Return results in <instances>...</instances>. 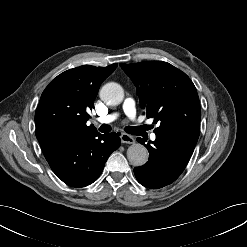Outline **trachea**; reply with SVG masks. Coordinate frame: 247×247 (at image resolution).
<instances>
[{
	"label": "trachea",
	"mask_w": 247,
	"mask_h": 247,
	"mask_svg": "<svg viewBox=\"0 0 247 247\" xmlns=\"http://www.w3.org/2000/svg\"><path fill=\"white\" fill-rule=\"evenodd\" d=\"M125 130L128 132V133H131L132 130H133V127H126ZM99 131L102 132V133H108L111 131V127L107 124H102L99 128Z\"/></svg>",
	"instance_id": "trachea-1"
}]
</instances>
